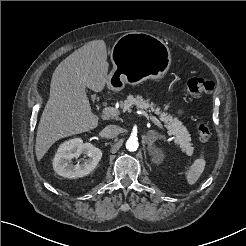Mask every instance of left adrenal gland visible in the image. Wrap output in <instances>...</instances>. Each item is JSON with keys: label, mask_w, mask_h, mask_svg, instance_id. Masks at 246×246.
<instances>
[{"label": "left adrenal gland", "mask_w": 246, "mask_h": 246, "mask_svg": "<svg viewBox=\"0 0 246 246\" xmlns=\"http://www.w3.org/2000/svg\"><path fill=\"white\" fill-rule=\"evenodd\" d=\"M148 136H153V139L152 140H150V139L148 140L147 137H145V141L148 144V148H151L152 144L154 143V141L156 139L163 138V136L161 134L157 133L154 130L148 131Z\"/></svg>", "instance_id": "left-adrenal-gland-1"}]
</instances>
